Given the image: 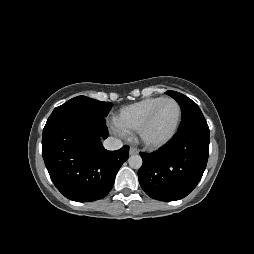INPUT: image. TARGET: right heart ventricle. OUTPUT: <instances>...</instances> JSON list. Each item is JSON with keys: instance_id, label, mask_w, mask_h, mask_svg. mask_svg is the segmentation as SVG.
Instances as JSON below:
<instances>
[{"instance_id": "obj_1", "label": "right heart ventricle", "mask_w": 254, "mask_h": 254, "mask_svg": "<svg viewBox=\"0 0 254 254\" xmlns=\"http://www.w3.org/2000/svg\"><path fill=\"white\" fill-rule=\"evenodd\" d=\"M163 99L151 97L125 106L118 112L116 122L126 131H137L150 111Z\"/></svg>"}]
</instances>
